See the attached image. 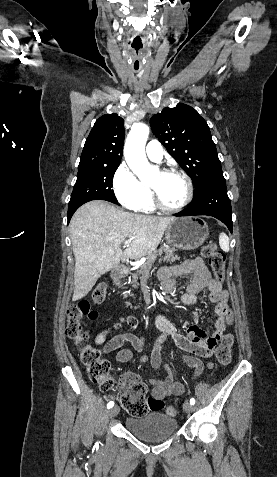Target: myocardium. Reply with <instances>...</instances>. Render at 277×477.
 Instances as JSON below:
<instances>
[{"instance_id":"obj_1","label":"myocardium","mask_w":277,"mask_h":477,"mask_svg":"<svg viewBox=\"0 0 277 477\" xmlns=\"http://www.w3.org/2000/svg\"><path fill=\"white\" fill-rule=\"evenodd\" d=\"M161 173L175 174L180 176L186 184V196L180 205L176 207H169L163 203L157 190L154 187L149 186L154 206L158 208L159 210L166 213H177L184 210L191 203L193 199V195H194V185H193L191 177L184 170L174 168V167L165 169L161 171Z\"/></svg>"}]
</instances>
